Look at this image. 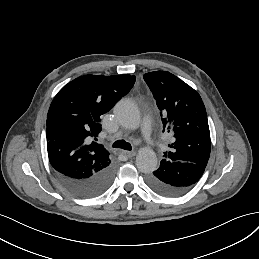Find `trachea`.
I'll return each instance as SVG.
<instances>
[{"mask_svg": "<svg viewBox=\"0 0 259 259\" xmlns=\"http://www.w3.org/2000/svg\"><path fill=\"white\" fill-rule=\"evenodd\" d=\"M113 148H122L124 150H131L132 146L130 143L124 141V140H117L112 145Z\"/></svg>", "mask_w": 259, "mask_h": 259, "instance_id": "trachea-1", "label": "trachea"}]
</instances>
